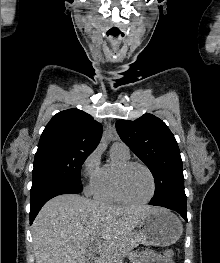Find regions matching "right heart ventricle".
I'll list each match as a JSON object with an SVG mask.
<instances>
[{
  "label": "right heart ventricle",
  "instance_id": "e07e8e85",
  "mask_svg": "<svg viewBox=\"0 0 220 263\" xmlns=\"http://www.w3.org/2000/svg\"><path fill=\"white\" fill-rule=\"evenodd\" d=\"M113 162L107 163L101 167L99 178L93 190V195L99 201L106 203H120L114 186V172L116 167L129 160V155L112 148L111 150Z\"/></svg>",
  "mask_w": 220,
  "mask_h": 263
}]
</instances>
